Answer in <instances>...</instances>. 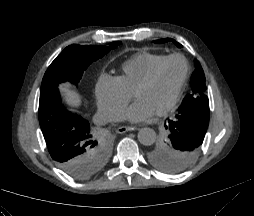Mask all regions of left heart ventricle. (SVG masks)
<instances>
[{
	"mask_svg": "<svg viewBox=\"0 0 254 216\" xmlns=\"http://www.w3.org/2000/svg\"><path fill=\"white\" fill-rule=\"evenodd\" d=\"M184 72V64L179 59L166 62L156 80L147 88L136 93V100L149 104L156 112L165 107L174 96Z\"/></svg>",
	"mask_w": 254,
	"mask_h": 216,
	"instance_id": "left-heart-ventricle-1",
	"label": "left heart ventricle"
}]
</instances>
